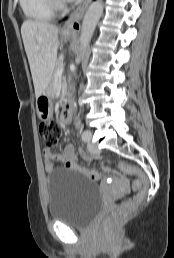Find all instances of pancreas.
Returning a JSON list of instances; mask_svg holds the SVG:
<instances>
[{
	"label": "pancreas",
	"mask_w": 174,
	"mask_h": 258,
	"mask_svg": "<svg viewBox=\"0 0 174 258\" xmlns=\"http://www.w3.org/2000/svg\"><path fill=\"white\" fill-rule=\"evenodd\" d=\"M63 66H64L63 61H58V62L56 63V66H55L54 71H53L52 83H51V87H50V93H51V95L54 94V82H55V78H56V72H57V70L63 68Z\"/></svg>",
	"instance_id": "1"
}]
</instances>
